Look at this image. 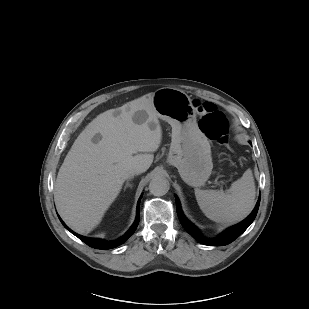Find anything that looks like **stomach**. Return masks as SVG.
<instances>
[{"mask_svg": "<svg viewBox=\"0 0 309 309\" xmlns=\"http://www.w3.org/2000/svg\"><path fill=\"white\" fill-rule=\"evenodd\" d=\"M153 106L158 117L172 127L168 163L188 185H203L213 168L211 148L197 125L192 100L182 90L164 87L153 93Z\"/></svg>", "mask_w": 309, "mask_h": 309, "instance_id": "stomach-1", "label": "stomach"}]
</instances>
